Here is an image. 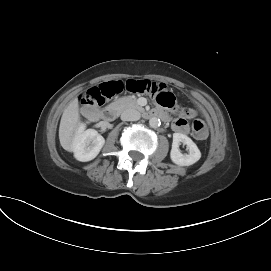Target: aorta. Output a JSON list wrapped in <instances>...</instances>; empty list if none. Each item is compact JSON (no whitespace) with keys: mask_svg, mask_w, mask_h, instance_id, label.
Listing matches in <instances>:
<instances>
[{"mask_svg":"<svg viewBox=\"0 0 271 271\" xmlns=\"http://www.w3.org/2000/svg\"><path fill=\"white\" fill-rule=\"evenodd\" d=\"M160 124H161L160 119L157 118V117H152V118H150V120H149V125H150L152 128H157V127L160 126Z\"/></svg>","mask_w":271,"mask_h":271,"instance_id":"obj_1","label":"aorta"}]
</instances>
